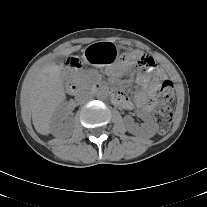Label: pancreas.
<instances>
[{
    "instance_id": "1",
    "label": "pancreas",
    "mask_w": 207,
    "mask_h": 207,
    "mask_svg": "<svg viewBox=\"0 0 207 207\" xmlns=\"http://www.w3.org/2000/svg\"><path fill=\"white\" fill-rule=\"evenodd\" d=\"M92 73H93L92 71H88V72H87V77H88L89 80L91 79V75H92Z\"/></svg>"
}]
</instances>
